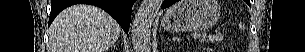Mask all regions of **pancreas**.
<instances>
[{
  "label": "pancreas",
  "mask_w": 305,
  "mask_h": 52,
  "mask_svg": "<svg viewBox=\"0 0 305 52\" xmlns=\"http://www.w3.org/2000/svg\"><path fill=\"white\" fill-rule=\"evenodd\" d=\"M223 40V36L221 35H208L205 39L208 43H222Z\"/></svg>",
  "instance_id": "cf45deb5"
}]
</instances>
